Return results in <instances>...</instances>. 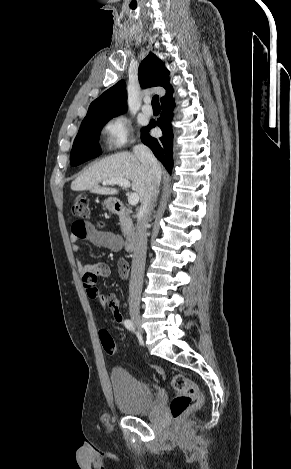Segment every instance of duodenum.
Here are the masks:
<instances>
[{"label": "duodenum", "instance_id": "1", "mask_svg": "<svg viewBox=\"0 0 291 469\" xmlns=\"http://www.w3.org/2000/svg\"><path fill=\"white\" fill-rule=\"evenodd\" d=\"M112 207H113V210L116 212V213H127L128 212V208L126 207V205L120 201V200H114L113 203H112ZM135 244H136V238H135V235L133 232H130L124 242V247H125V250L128 251V252H131L134 250L135 248Z\"/></svg>", "mask_w": 291, "mask_h": 469}]
</instances>
